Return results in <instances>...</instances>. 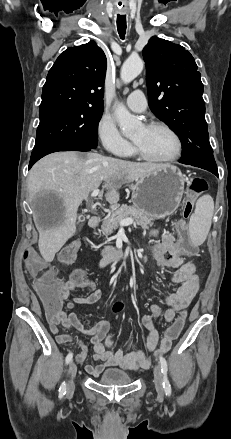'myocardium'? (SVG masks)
Returning <instances> with one entry per match:
<instances>
[{"instance_id": "f54148a6", "label": "myocardium", "mask_w": 231, "mask_h": 439, "mask_svg": "<svg viewBox=\"0 0 231 439\" xmlns=\"http://www.w3.org/2000/svg\"><path fill=\"white\" fill-rule=\"evenodd\" d=\"M144 128L146 129H163L167 131L175 142V150L172 155L166 157V158H153L147 155L144 151H142L134 142H133V151L134 153L141 158L142 160L152 162V163H159V164H165V163H171L178 159L182 153L183 150V143L179 136V134L168 124L164 122H151L146 125H144Z\"/></svg>"}]
</instances>
